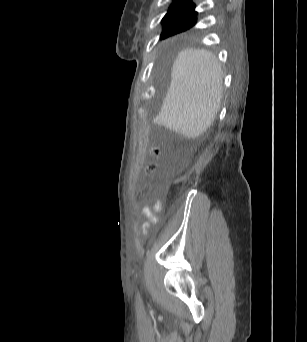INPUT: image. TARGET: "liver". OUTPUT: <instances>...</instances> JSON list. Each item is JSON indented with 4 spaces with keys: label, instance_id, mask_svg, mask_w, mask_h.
I'll return each mask as SVG.
<instances>
[{
    "label": "liver",
    "instance_id": "1",
    "mask_svg": "<svg viewBox=\"0 0 307 342\" xmlns=\"http://www.w3.org/2000/svg\"><path fill=\"white\" fill-rule=\"evenodd\" d=\"M222 78V68L212 52L196 48L179 52L156 124L188 140L202 136L219 112Z\"/></svg>",
    "mask_w": 307,
    "mask_h": 342
}]
</instances>
